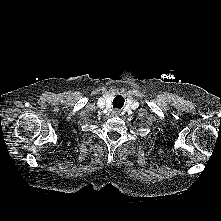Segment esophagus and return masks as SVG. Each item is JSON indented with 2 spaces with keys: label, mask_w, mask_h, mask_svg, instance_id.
<instances>
[{
  "label": "esophagus",
  "mask_w": 221,
  "mask_h": 221,
  "mask_svg": "<svg viewBox=\"0 0 221 221\" xmlns=\"http://www.w3.org/2000/svg\"><path fill=\"white\" fill-rule=\"evenodd\" d=\"M116 114H119V111H115Z\"/></svg>",
  "instance_id": "34e87169"
}]
</instances>
